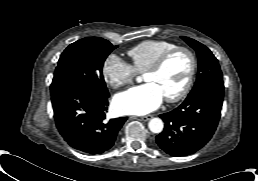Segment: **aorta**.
<instances>
[{
  "label": "aorta",
  "mask_w": 258,
  "mask_h": 181,
  "mask_svg": "<svg viewBox=\"0 0 258 181\" xmlns=\"http://www.w3.org/2000/svg\"><path fill=\"white\" fill-rule=\"evenodd\" d=\"M148 127L153 133H160L163 130L164 124L160 118H153L149 121Z\"/></svg>",
  "instance_id": "aorta-1"
}]
</instances>
